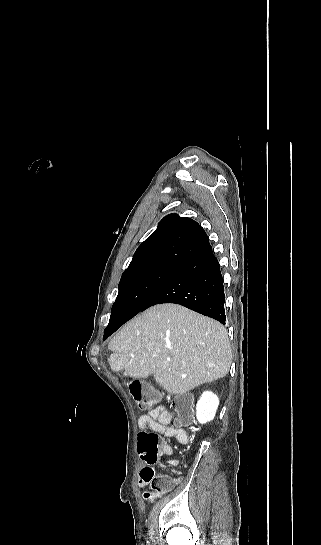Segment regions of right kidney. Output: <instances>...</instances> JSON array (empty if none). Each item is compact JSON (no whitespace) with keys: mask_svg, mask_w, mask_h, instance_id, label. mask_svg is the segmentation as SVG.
Returning <instances> with one entry per match:
<instances>
[{"mask_svg":"<svg viewBox=\"0 0 321 545\" xmlns=\"http://www.w3.org/2000/svg\"><path fill=\"white\" fill-rule=\"evenodd\" d=\"M219 399L211 391H205L196 405V417L199 423L212 421L218 409Z\"/></svg>","mask_w":321,"mask_h":545,"instance_id":"right-kidney-1","label":"right kidney"}]
</instances>
